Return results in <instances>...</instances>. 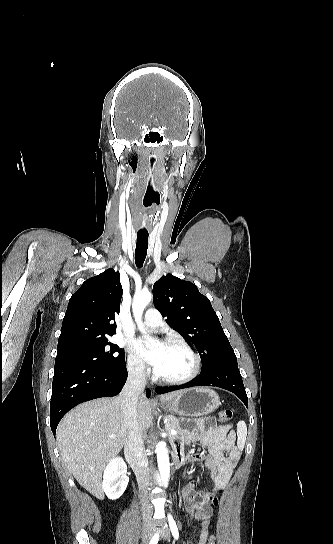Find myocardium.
I'll return each instance as SVG.
<instances>
[{
  "mask_svg": "<svg viewBox=\"0 0 333 544\" xmlns=\"http://www.w3.org/2000/svg\"><path fill=\"white\" fill-rule=\"evenodd\" d=\"M168 345L177 346L187 351L193 359V366L191 371L181 378H164L154 372V378L156 381L166 385H181L192 381L198 376L202 368V361L200 355L184 340L174 338L168 341Z\"/></svg>",
  "mask_w": 333,
  "mask_h": 544,
  "instance_id": "myocardium-1",
  "label": "myocardium"
}]
</instances>
